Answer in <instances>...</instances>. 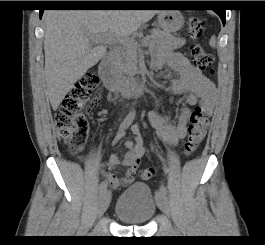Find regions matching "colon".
Listing matches in <instances>:
<instances>
[{"label": "colon", "instance_id": "1", "mask_svg": "<svg viewBox=\"0 0 265 245\" xmlns=\"http://www.w3.org/2000/svg\"><path fill=\"white\" fill-rule=\"evenodd\" d=\"M188 34L191 39L199 38L204 31V22L198 17H191L188 21ZM194 65L209 73H213V57L203 47L193 44L189 48ZM98 75L91 73L82 78L63 100L59 111L55 114L54 122L62 142L69 146L72 153H77L84 145L88 124L87 115L92 109L101 106V100L94 95L98 84ZM210 120V113L202 107H196L191 114V124L184 145V153H194L202 144ZM155 171L147 167L139 172L141 180H149Z\"/></svg>", "mask_w": 265, "mask_h": 245}]
</instances>
